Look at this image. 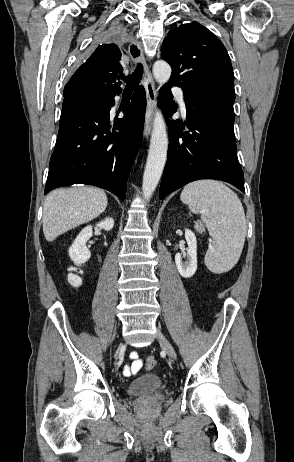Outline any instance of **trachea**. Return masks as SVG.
<instances>
[{
  "label": "trachea",
  "mask_w": 294,
  "mask_h": 462,
  "mask_svg": "<svg viewBox=\"0 0 294 462\" xmlns=\"http://www.w3.org/2000/svg\"><path fill=\"white\" fill-rule=\"evenodd\" d=\"M142 74L143 66L140 63H138L137 68L131 75H128L127 77H122V79L126 82L124 91H133L139 84Z\"/></svg>",
  "instance_id": "1"
}]
</instances>
